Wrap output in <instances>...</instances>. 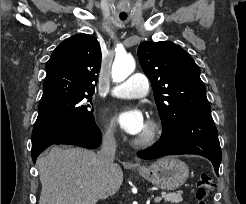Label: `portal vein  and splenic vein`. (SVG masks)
<instances>
[{
    "mask_svg": "<svg viewBox=\"0 0 246 204\" xmlns=\"http://www.w3.org/2000/svg\"><path fill=\"white\" fill-rule=\"evenodd\" d=\"M161 200H162V197H156V198L154 199L155 202H160Z\"/></svg>",
    "mask_w": 246,
    "mask_h": 204,
    "instance_id": "obj_1",
    "label": "portal vein and splenic vein"
}]
</instances>
